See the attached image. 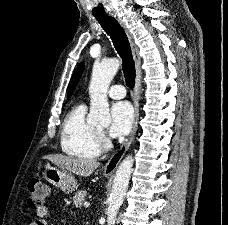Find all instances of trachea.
I'll return each instance as SVG.
<instances>
[{
  "label": "trachea",
  "mask_w": 228,
  "mask_h": 225,
  "mask_svg": "<svg viewBox=\"0 0 228 225\" xmlns=\"http://www.w3.org/2000/svg\"><path fill=\"white\" fill-rule=\"evenodd\" d=\"M98 21L112 39L115 49L122 58V70L127 87L134 88L136 78L135 63L125 31L113 17L98 19Z\"/></svg>",
  "instance_id": "3493384b"
}]
</instances>
